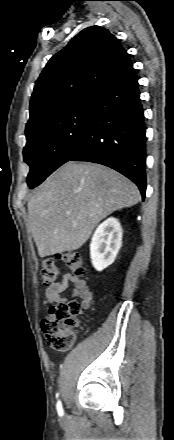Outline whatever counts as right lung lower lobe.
<instances>
[{
  "label": "right lung lower lobe",
  "instance_id": "obj_1",
  "mask_svg": "<svg viewBox=\"0 0 174 440\" xmlns=\"http://www.w3.org/2000/svg\"><path fill=\"white\" fill-rule=\"evenodd\" d=\"M86 132L67 161L108 166L146 192V135L138 78L131 67L94 93Z\"/></svg>",
  "mask_w": 174,
  "mask_h": 440
}]
</instances>
